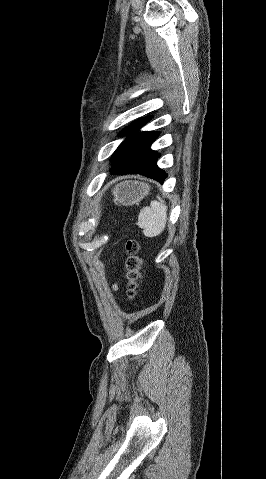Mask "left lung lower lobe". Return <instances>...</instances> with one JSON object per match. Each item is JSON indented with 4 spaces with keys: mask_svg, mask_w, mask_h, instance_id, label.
Listing matches in <instances>:
<instances>
[{
    "mask_svg": "<svg viewBox=\"0 0 266 479\" xmlns=\"http://www.w3.org/2000/svg\"><path fill=\"white\" fill-rule=\"evenodd\" d=\"M159 157H160V154H157V156L154 159H148L144 161L142 164H139V166L130 167L124 170H116L112 172V174L126 175V174L137 173V174H141L146 177H149L151 179H154L162 184L167 178L168 174H166L164 170L158 167L157 161Z\"/></svg>",
    "mask_w": 266,
    "mask_h": 479,
    "instance_id": "0a47b994",
    "label": "left lung lower lobe"
}]
</instances>
